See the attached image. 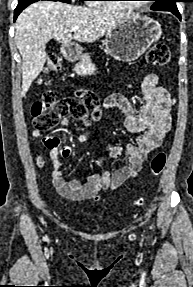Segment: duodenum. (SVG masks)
<instances>
[{
  "instance_id": "duodenum-1",
  "label": "duodenum",
  "mask_w": 193,
  "mask_h": 287,
  "mask_svg": "<svg viewBox=\"0 0 193 287\" xmlns=\"http://www.w3.org/2000/svg\"><path fill=\"white\" fill-rule=\"evenodd\" d=\"M77 53L78 51L75 46H65L63 49V55L69 59H74Z\"/></svg>"
}]
</instances>
